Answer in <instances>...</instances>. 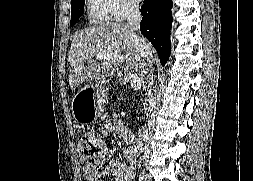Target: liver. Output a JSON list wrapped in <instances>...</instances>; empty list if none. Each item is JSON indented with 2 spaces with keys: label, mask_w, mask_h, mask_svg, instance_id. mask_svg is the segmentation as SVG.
Wrapping results in <instances>:
<instances>
[{
  "label": "liver",
  "mask_w": 253,
  "mask_h": 181,
  "mask_svg": "<svg viewBox=\"0 0 253 181\" xmlns=\"http://www.w3.org/2000/svg\"><path fill=\"white\" fill-rule=\"evenodd\" d=\"M138 39L146 43V53L138 48ZM125 51L126 65L135 70L141 78L145 76L147 64L153 62L155 50L145 39L137 36L135 31L126 24L108 22L75 34L69 50L70 65L69 84L75 89L79 84L100 82L113 75L119 63L112 59L98 58L102 52L121 53Z\"/></svg>",
  "instance_id": "liver-1"
}]
</instances>
